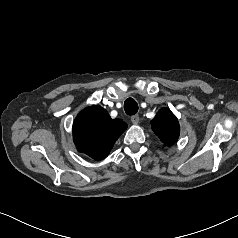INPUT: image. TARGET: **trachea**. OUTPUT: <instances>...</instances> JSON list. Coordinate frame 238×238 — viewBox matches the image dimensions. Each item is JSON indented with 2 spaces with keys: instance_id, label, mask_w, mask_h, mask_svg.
Segmentation results:
<instances>
[{
  "instance_id": "trachea-1",
  "label": "trachea",
  "mask_w": 238,
  "mask_h": 238,
  "mask_svg": "<svg viewBox=\"0 0 238 238\" xmlns=\"http://www.w3.org/2000/svg\"><path fill=\"white\" fill-rule=\"evenodd\" d=\"M124 110L127 115H134L138 112V104L133 98H128L124 102Z\"/></svg>"
}]
</instances>
